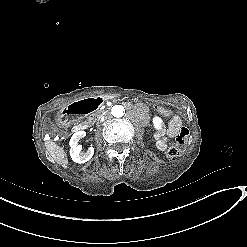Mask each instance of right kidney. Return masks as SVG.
<instances>
[{
  "mask_svg": "<svg viewBox=\"0 0 247 247\" xmlns=\"http://www.w3.org/2000/svg\"><path fill=\"white\" fill-rule=\"evenodd\" d=\"M85 137L84 131H77L70 140V156L73 162L84 164L88 162L94 155V147H89L87 151H82V146L79 144L81 139Z\"/></svg>",
  "mask_w": 247,
  "mask_h": 247,
  "instance_id": "ca27d5eb",
  "label": "right kidney"
}]
</instances>
